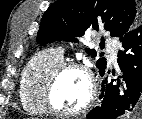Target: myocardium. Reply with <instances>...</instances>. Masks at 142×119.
I'll return each mask as SVG.
<instances>
[{
    "mask_svg": "<svg viewBox=\"0 0 142 119\" xmlns=\"http://www.w3.org/2000/svg\"><path fill=\"white\" fill-rule=\"evenodd\" d=\"M69 70H78L81 71L87 78L89 83V95L84 102V104L76 110L65 111L60 109L54 101V92L56 86L64 73ZM97 97V83L95 77L88 66L76 61H66L58 65L49 75L43 90V100L48 109L52 114L59 116L72 117L78 116L88 109H90Z\"/></svg>",
    "mask_w": 142,
    "mask_h": 119,
    "instance_id": "myocardium-1",
    "label": "myocardium"
}]
</instances>
